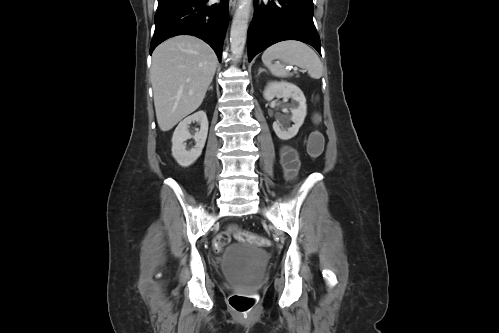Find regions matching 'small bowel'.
<instances>
[{
    "instance_id": "c3829d8e",
    "label": "small bowel",
    "mask_w": 499,
    "mask_h": 333,
    "mask_svg": "<svg viewBox=\"0 0 499 333\" xmlns=\"http://www.w3.org/2000/svg\"><path fill=\"white\" fill-rule=\"evenodd\" d=\"M280 158L286 179L294 180L300 167L296 150L291 146L284 145L280 149Z\"/></svg>"
}]
</instances>
